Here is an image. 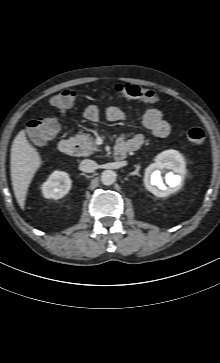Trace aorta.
<instances>
[{"instance_id": "762f6f07", "label": "aorta", "mask_w": 220, "mask_h": 363, "mask_svg": "<svg viewBox=\"0 0 220 363\" xmlns=\"http://www.w3.org/2000/svg\"><path fill=\"white\" fill-rule=\"evenodd\" d=\"M116 181V173L113 170H105L101 174V182L104 185H112Z\"/></svg>"}]
</instances>
